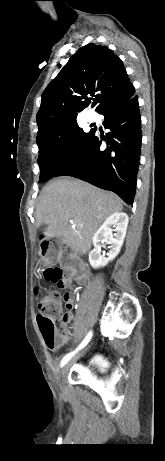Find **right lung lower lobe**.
Wrapping results in <instances>:
<instances>
[{
    "instance_id": "obj_1",
    "label": "right lung lower lobe",
    "mask_w": 165,
    "mask_h": 461,
    "mask_svg": "<svg viewBox=\"0 0 165 461\" xmlns=\"http://www.w3.org/2000/svg\"><path fill=\"white\" fill-rule=\"evenodd\" d=\"M102 115L105 128L111 130L106 135L107 148L100 149L101 141L93 130L81 151L55 177L79 178L113 191L127 204H132L142 141L137 96L106 110Z\"/></svg>"
}]
</instances>
